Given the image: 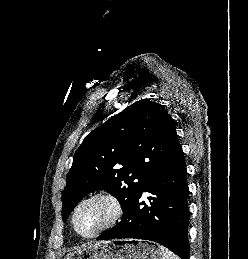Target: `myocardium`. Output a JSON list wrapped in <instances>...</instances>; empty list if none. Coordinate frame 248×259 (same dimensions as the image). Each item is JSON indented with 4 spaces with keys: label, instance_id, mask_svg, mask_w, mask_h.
<instances>
[{
    "label": "myocardium",
    "instance_id": "f54148a6",
    "mask_svg": "<svg viewBox=\"0 0 248 259\" xmlns=\"http://www.w3.org/2000/svg\"><path fill=\"white\" fill-rule=\"evenodd\" d=\"M97 199H102V200L109 202L113 208V214H112L111 218L99 229H97L96 231H94L90 234H83L77 228L76 216H77L79 210L82 208V206H84L88 202H91V201H94ZM122 214H123V206H122L121 201L119 200V198L116 195H114L113 193L108 192V191H98V192H95V193L90 194L89 196L85 197L77 204V206L75 207L73 214H72V226H73L74 231L79 236H81L83 238H94V237L98 236L99 234L103 233L104 231L113 227L119 221Z\"/></svg>",
    "mask_w": 248,
    "mask_h": 259
}]
</instances>
